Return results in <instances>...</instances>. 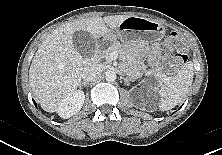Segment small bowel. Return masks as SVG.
<instances>
[{
	"instance_id": "obj_1",
	"label": "small bowel",
	"mask_w": 222,
	"mask_h": 155,
	"mask_svg": "<svg viewBox=\"0 0 222 155\" xmlns=\"http://www.w3.org/2000/svg\"><path fill=\"white\" fill-rule=\"evenodd\" d=\"M159 52H160V50H159L158 45H156V44L153 45L151 48V56H150L152 61H155L157 59Z\"/></svg>"
}]
</instances>
